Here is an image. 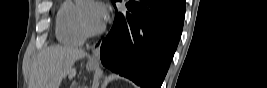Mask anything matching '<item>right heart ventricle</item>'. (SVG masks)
<instances>
[{
  "label": "right heart ventricle",
  "mask_w": 267,
  "mask_h": 88,
  "mask_svg": "<svg viewBox=\"0 0 267 88\" xmlns=\"http://www.w3.org/2000/svg\"><path fill=\"white\" fill-rule=\"evenodd\" d=\"M78 9L73 1H65L59 9L56 33L65 45L80 46L85 39L78 21Z\"/></svg>",
  "instance_id": "e07e8e85"
}]
</instances>
